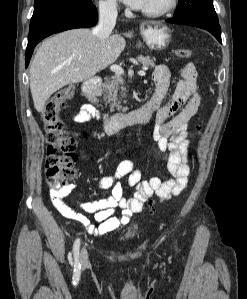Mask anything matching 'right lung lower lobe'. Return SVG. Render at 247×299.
I'll use <instances>...</instances> for the list:
<instances>
[{
	"instance_id": "1",
	"label": "right lung lower lobe",
	"mask_w": 247,
	"mask_h": 299,
	"mask_svg": "<svg viewBox=\"0 0 247 299\" xmlns=\"http://www.w3.org/2000/svg\"><path fill=\"white\" fill-rule=\"evenodd\" d=\"M97 23V11L94 5L74 8L55 15L30 28L26 48V67L33 54L34 47L44 38L54 33L73 29L92 27Z\"/></svg>"
}]
</instances>
